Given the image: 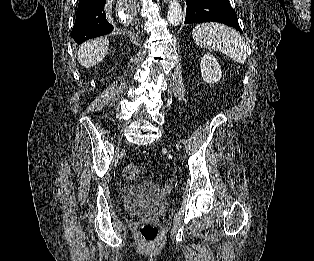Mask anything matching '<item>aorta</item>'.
Wrapping results in <instances>:
<instances>
[{
  "label": "aorta",
  "mask_w": 314,
  "mask_h": 261,
  "mask_svg": "<svg viewBox=\"0 0 314 261\" xmlns=\"http://www.w3.org/2000/svg\"><path fill=\"white\" fill-rule=\"evenodd\" d=\"M167 18L170 24L177 26L183 18V12L180 3L177 0H170L168 6Z\"/></svg>",
  "instance_id": "aorta-1"
}]
</instances>
